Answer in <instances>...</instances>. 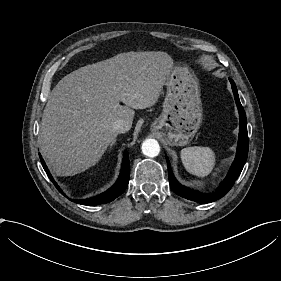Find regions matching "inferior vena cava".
Listing matches in <instances>:
<instances>
[{"label":"inferior vena cava","instance_id":"inferior-vena-cava-1","mask_svg":"<svg viewBox=\"0 0 281 281\" xmlns=\"http://www.w3.org/2000/svg\"><path fill=\"white\" fill-rule=\"evenodd\" d=\"M130 128H131V124L122 119L115 121L113 124V129L117 133H121V134L126 133L127 131H129Z\"/></svg>","mask_w":281,"mask_h":281}]
</instances>
